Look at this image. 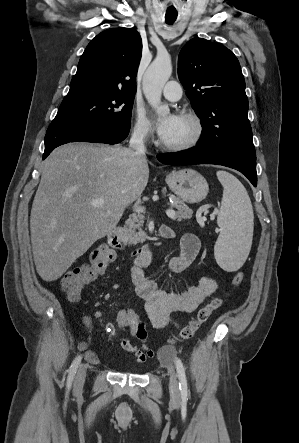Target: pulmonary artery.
Here are the masks:
<instances>
[{"instance_id": "obj_1", "label": "pulmonary artery", "mask_w": 299, "mask_h": 443, "mask_svg": "<svg viewBox=\"0 0 299 443\" xmlns=\"http://www.w3.org/2000/svg\"><path fill=\"white\" fill-rule=\"evenodd\" d=\"M163 96L169 101H177L182 96V87L176 81H169L163 88Z\"/></svg>"}]
</instances>
